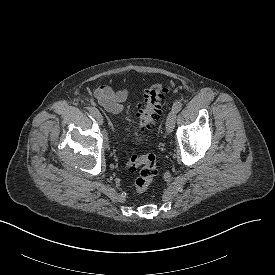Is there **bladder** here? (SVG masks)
Returning <instances> with one entry per match:
<instances>
[{
  "mask_svg": "<svg viewBox=\"0 0 275 275\" xmlns=\"http://www.w3.org/2000/svg\"><path fill=\"white\" fill-rule=\"evenodd\" d=\"M125 109L128 111V110H129V107H126Z\"/></svg>",
  "mask_w": 275,
  "mask_h": 275,
  "instance_id": "obj_1",
  "label": "bladder"
}]
</instances>
